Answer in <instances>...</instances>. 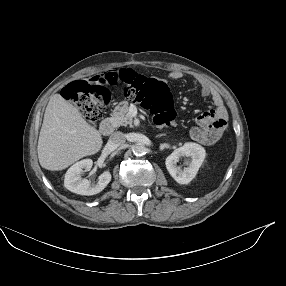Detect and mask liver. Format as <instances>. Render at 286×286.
Here are the masks:
<instances>
[{"label":"liver","mask_w":286,"mask_h":286,"mask_svg":"<svg viewBox=\"0 0 286 286\" xmlns=\"http://www.w3.org/2000/svg\"><path fill=\"white\" fill-rule=\"evenodd\" d=\"M103 141L79 110L60 94L51 96L38 139L40 165L51 171L67 168L77 160L96 154Z\"/></svg>","instance_id":"1"}]
</instances>
